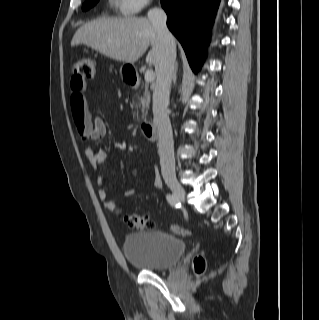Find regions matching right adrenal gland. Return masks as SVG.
Returning <instances> with one entry per match:
<instances>
[{"instance_id": "1", "label": "right adrenal gland", "mask_w": 319, "mask_h": 320, "mask_svg": "<svg viewBox=\"0 0 319 320\" xmlns=\"http://www.w3.org/2000/svg\"><path fill=\"white\" fill-rule=\"evenodd\" d=\"M177 70H178V63L176 62L175 71H174V75H173V83H174V85L176 84V80H177Z\"/></svg>"}]
</instances>
